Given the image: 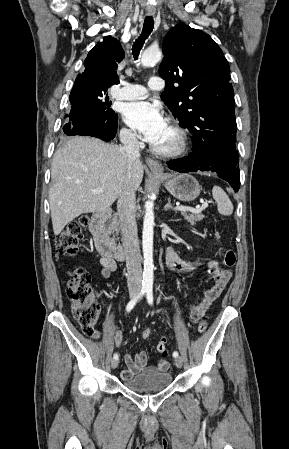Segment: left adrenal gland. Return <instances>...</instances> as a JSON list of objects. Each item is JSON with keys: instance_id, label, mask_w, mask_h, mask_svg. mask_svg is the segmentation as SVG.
<instances>
[{"instance_id": "obj_1", "label": "left adrenal gland", "mask_w": 289, "mask_h": 449, "mask_svg": "<svg viewBox=\"0 0 289 449\" xmlns=\"http://www.w3.org/2000/svg\"><path fill=\"white\" fill-rule=\"evenodd\" d=\"M167 200H168V202L164 206V210H173L174 212H177L176 209L171 205V199L168 198Z\"/></svg>"}]
</instances>
